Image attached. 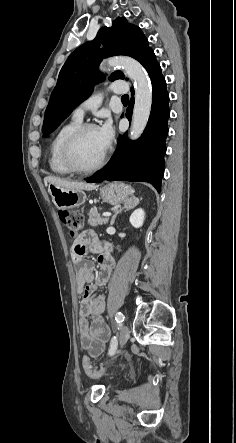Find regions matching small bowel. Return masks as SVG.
<instances>
[{
  "label": "small bowel",
  "instance_id": "obj_1",
  "mask_svg": "<svg viewBox=\"0 0 236 443\" xmlns=\"http://www.w3.org/2000/svg\"><path fill=\"white\" fill-rule=\"evenodd\" d=\"M77 247L99 253V270L93 272V264L84 258L72 259L77 267L76 286L77 292L81 295L79 303L78 332L80 344L87 349L93 357L99 356L110 337V331L104 321L105 297L98 294L97 290L109 283L114 260L108 253L107 245H104L93 231H87L79 235L73 242V250ZM89 318L91 320H89Z\"/></svg>",
  "mask_w": 236,
  "mask_h": 443
}]
</instances>
